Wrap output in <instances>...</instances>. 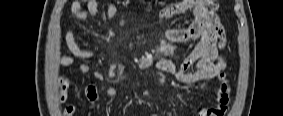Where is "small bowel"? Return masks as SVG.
Wrapping results in <instances>:
<instances>
[{
    "instance_id": "obj_1",
    "label": "small bowel",
    "mask_w": 283,
    "mask_h": 116,
    "mask_svg": "<svg viewBox=\"0 0 283 116\" xmlns=\"http://www.w3.org/2000/svg\"><path fill=\"white\" fill-rule=\"evenodd\" d=\"M192 8L193 21L186 28L167 29L166 38L171 42L196 41V45L190 55L181 63L176 64L170 59L160 58L157 60V68L167 74L172 75L177 81L193 84L201 81L217 79L219 82L217 93V108L201 107L196 113L197 116H220L217 109L224 103L229 102L230 85L224 70L226 62L220 57V51L225 46V31L216 14V2L213 0H182L162 11L164 20L171 16ZM71 11L80 20L95 17L98 13V4L95 0L88 1L86 6L80 2L71 3ZM117 7L110 4L105 12L106 18H112L117 14ZM66 51L60 57V64L63 67L73 66L78 60H87L94 55L92 50H84L77 44L73 31L65 34ZM166 47L165 51H169ZM146 63L151 62L150 56L146 57ZM88 65L83 63L80 72L85 73ZM71 80H66L65 85L72 86ZM87 99L95 104H100L97 88L89 85L85 88ZM128 97H124L127 99ZM76 111V107L70 105L66 108L65 116H71Z\"/></svg>"
}]
</instances>
